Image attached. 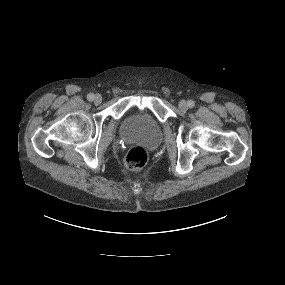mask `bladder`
Wrapping results in <instances>:
<instances>
[{
	"instance_id": "31cf9c89",
	"label": "bladder",
	"mask_w": 285,
	"mask_h": 285,
	"mask_svg": "<svg viewBox=\"0 0 285 285\" xmlns=\"http://www.w3.org/2000/svg\"><path fill=\"white\" fill-rule=\"evenodd\" d=\"M124 135L135 139L148 147L158 145L161 140V129L158 124L147 120H129L123 127Z\"/></svg>"
}]
</instances>
